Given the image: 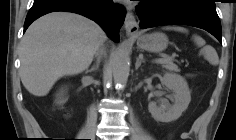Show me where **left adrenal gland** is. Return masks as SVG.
Instances as JSON below:
<instances>
[{
  "label": "left adrenal gland",
  "mask_w": 236,
  "mask_h": 140,
  "mask_svg": "<svg viewBox=\"0 0 236 140\" xmlns=\"http://www.w3.org/2000/svg\"><path fill=\"white\" fill-rule=\"evenodd\" d=\"M144 62H145V60L143 58L138 57L136 59L135 69L137 70L141 66V64Z\"/></svg>",
  "instance_id": "obj_1"
}]
</instances>
